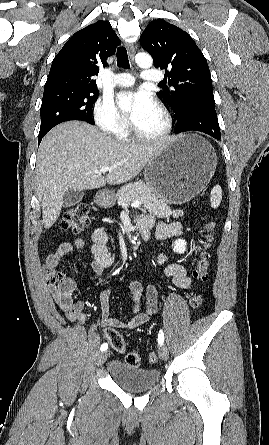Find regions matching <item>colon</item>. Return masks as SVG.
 Masks as SVG:
<instances>
[{
  "mask_svg": "<svg viewBox=\"0 0 269 445\" xmlns=\"http://www.w3.org/2000/svg\"><path fill=\"white\" fill-rule=\"evenodd\" d=\"M90 224V207L86 203H80L68 209L60 220V228L63 231L72 233H79L86 229ZM214 223L207 221L204 225V235L201 242V249L198 255V260L193 270V276L196 280L205 282L208 278L209 271V247L213 239ZM44 274L46 282L49 286L54 287L58 283V288L65 294L72 293L75 285L74 282L68 278H63L61 272L53 265H45ZM202 296L198 293L191 295L189 299L190 307L197 310L202 304ZM106 339L110 342L111 347L117 352H124L126 344L122 336L115 330H109L106 333ZM148 362L154 364L158 361L156 353L148 354ZM125 362L132 367H138L141 363V358L138 353L130 352L125 357Z\"/></svg>",
  "mask_w": 269,
  "mask_h": 445,
  "instance_id": "colon-1",
  "label": "colon"
}]
</instances>
